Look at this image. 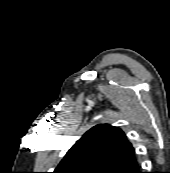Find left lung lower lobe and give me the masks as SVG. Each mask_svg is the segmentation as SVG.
Masks as SVG:
<instances>
[{"label":"left lung lower lobe","instance_id":"1","mask_svg":"<svg viewBox=\"0 0 170 173\" xmlns=\"http://www.w3.org/2000/svg\"><path fill=\"white\" fill-rule=\"evenodd\" d=\"M118 173H142V172L140 171V167L137 160H135L126 167L122 168Z\"/></svg>","mask_w":170,"mask_h":173}]
</instances>
